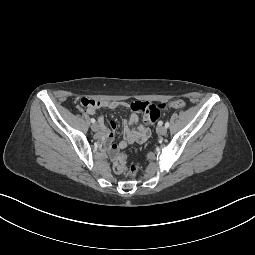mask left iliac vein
<instances>
[{
	"instance_id": "4c4485c4",
	"label": "left iliac vein",
	"mask_w": 255,
	"mask_h": 255,
	"mask_svg": "<svg viewBox=\"0 0 255 255\" xmlns=\"http://www.w3.org/2000/svg\"><path fill=\"white\" fill-rule=\"evenodd\" d=\"M158 133H159L160 135H166V133H167V128H166L165 126L159 127V128H158Z\"/></svg>"
}]
</instances>
